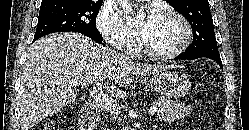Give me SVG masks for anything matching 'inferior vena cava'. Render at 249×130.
Segmentation results:
<instances>
[{"label":"inferior vena cava","instance_id":"inferior-vena-cava-1","mask_svg":"<svg viewBox=\"0 0 249 130\" xmlns=\"http://www.w3.org/2000/svg\"><path fill=\"white\" fill-rule=\"evenodd\" d=\"M120 57H121V59H123V60H124V59H127V57H126L125 55H123V54H121Z\"/></svg>","mask_w":249,"mask_h":130}]
</instances>
